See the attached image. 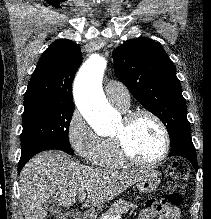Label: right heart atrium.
I'll list each match as a JSON object with an SVG mask.
<instances>
[{
    "instance_id": "d8ad5b80",
    "label": "right heart atrium",
    "mask_w": 211,
    "mask_h": 219,
    "mask_svg": "<svg viewBox=\"0 0 211 219\" xmlns=\"http://www.w3.org/2000/svg\"><path fill=\"white\" fill-rule=\"evenodd\" d=\"M66 136L72 150L84 160L92 159L101 141L78 110L69 118Z\"/></svg>"
}]
</instances>
